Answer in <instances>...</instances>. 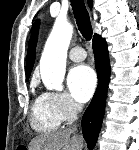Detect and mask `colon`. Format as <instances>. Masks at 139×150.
Here are the masks:
<instances>
[{
  "mask_svg": "<svg viewBox=\"0 0 139 150\" xmlns=\"http://www.w3.org/2000/svg\"><path fill=\"white\" fill-rule=\"evenodd\" d=\"M17 150H26V147H25V146H19V147L17 148Z\"/></svg>",
  "mask_w": 139,
  "mask_h": 150,
  "instance_id": "colon-1",
  "label": "colon"
}]
</instances>
